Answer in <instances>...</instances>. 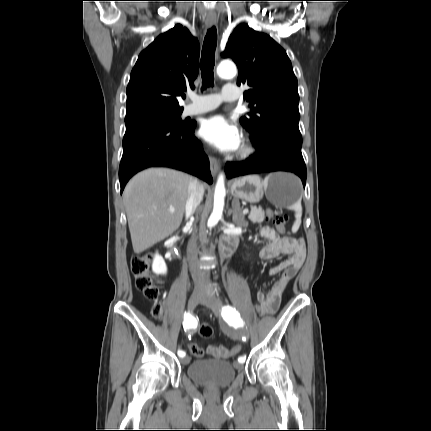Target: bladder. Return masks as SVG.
I'll return each instance as SVG.
<instances>
[{"mask_svg": "<svg viewBox=\"0 0 431 431\" xmlns=\"http://www.w3.org/2000/svg\"><path fill=\"white\" fill-rule=\"evenodd\" d=\"M188 377L206 388H224L231 385L237 375L234 365L222 359H202L193 361L187 368Z\"/></svg>", "mask_w": 431, "mask_h": 431, "instance_id": "1", "label": "bladder"}]
</instances>
